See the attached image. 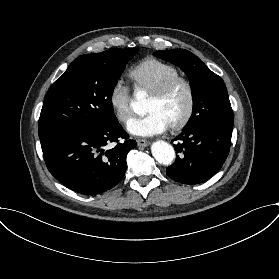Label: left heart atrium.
<instances>
[{
  "label": "left heart atrium",
  "instance_id": "1",
  "mask_svg": "<svg viewBox=\"0 0 279 279\" xmlns=\"http://www.w3.org/2000/svg\"><path fill=\"white\" fill-rule=\"evenodd\" d=\"M170 124L158 111L149 112L146 116L134 118L127 124V130L135 136L153 137L164 133Z\"/></svg>",
  "mask_w": 279,
  "mask_h": 279
}]
</instances>
